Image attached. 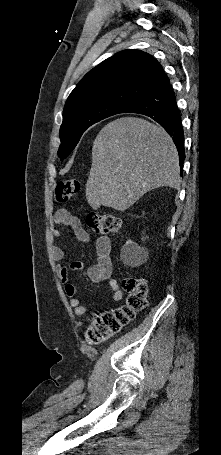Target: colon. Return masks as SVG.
Listing matches in <instances>:
<instances>
[{
  "label": "colon",
  "instance_id": "colon-1",
  "mask_svg": "<svg viewBox=\"0 0 221 455\" xmlns=\"http://www.w3.org/2000/svg\"><path fill=\"white\" fill-rule=\"evenodd\" d=\"M80 190L81 182L78 179L60 181L55 188V199L58 203H67ZM86 224L97 234L114 235L121 229L120 219L109 213H89ZM123 288L126 292L125 303L95 316L86 333V340L90 344H98L117 334L146 308L147 282L144 278L125 277Z\"/></svg>",
  "mask_w": 221,
  "mask_h": 455
}]
</instances>
